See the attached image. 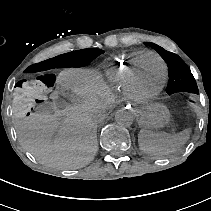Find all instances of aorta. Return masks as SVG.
I'll return each instance as SVG.
<instances>
[{"instance_id": "obj_1", "label": "aorta", "mask_w": 211, "mask_h": 211, "mask_svg": "<svg viewBox=\"0 0 211 211\" xmlns=\"http://www.w3.org/2000/svg\"><path fill=\"white\" fill-rule=\"evenodd\" d=\"M115 121L119 125L130 126L134 121V115L132 111L122 108L116 111Z\"/></svg>"}]
</instances>
